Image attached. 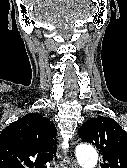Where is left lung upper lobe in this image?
Returning <instances> with one entry per match:
<instances>
[{
  "mask_svg": "<svg viewBox=\"0 0 127 168\" xmlns=\"http://www.w3.org/2000/svg\"><path fill=\"white\" fill-rule=\"evenodd\" d=\"M78 133L84 142L100 150L101 168H127V132L114 119L103 116L89 119Z\"/></svg>",
  "mask_w": 127,
  "mask_h": 168,
  "instance_id": "obj_1",
  "label": "left lung upper lobe"
}]
</instances>
